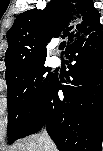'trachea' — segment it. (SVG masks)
Instances as JSON below:
<instances>
[{
  "instance_id": "3493384b",
  "label": "trachea",
  "mask_w": 103,
  "mask_h": 151,
  "mask_svg": "<svg viewBox=\"0 0 103 151\" xmlns=\"http://www.w3.org/2000/svg\"><path fill=\"white\" fill-rule=\"evenodd\" d=\"M65 46H66V42L63 41V42L59 45V49H60V50H64Z\"/></svg>"
}]
</instances>
